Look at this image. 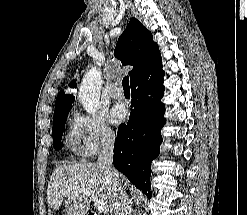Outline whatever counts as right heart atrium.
Listing matches in <instances>:
<instances>
[{
  "mask_svg": "<svg viewBox=\"0 0 247 215\" xmlns=\"http://www.w3.org/2000/svg\"><path fill=\"white\" fill-rule=\"evenodd\" d=\"M70 125V135L84 157H92L100 150L113 146L115 142V133L101 114L76 112Z\"/></svg>",
  "mask_w": 247,
  "mask_h": 215,
  "instance_id": "1",
  "label": "right heart atrium"
}]
</instances>
